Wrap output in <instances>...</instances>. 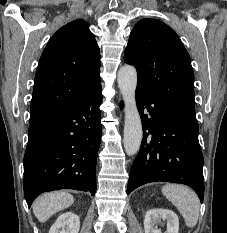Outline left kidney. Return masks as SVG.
I'll return each instance as SVG.
<instances>
[{
    "mask_svg": "<svg viewBox=\"0 0 227 233\" xmlns=\"http://www.w3.org/2000/svg\"><path fill=\"white\" fill-rule=\"evenodd\" d=\"M161 220L167 221V230L165 233H178V216L173 211L167 209H151L147 211L144 218L145 233H162L160 229L156 228V225L161 223Z\"/></svg>",
    "mask_w": 227,
    "mask_h": 233,
    "instance_id": "obj_1",
    "label": "left kidney"
}]
</instances>
